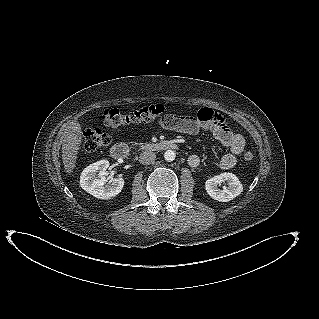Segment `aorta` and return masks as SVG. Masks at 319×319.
<instances>
[{"instance_id":"762f6f07","label":"aorta","mask_w":319,"mask_h":319,"mask_svg":"<svg viewBox=\"0 0 319 319\" xmlns=\"http://www.w3.org/2000/svg\"><path fill=\"white\" fill-rule=\"evenodd\" d=\"M176 158V153L173 150H167L164 153V159L168 162L174 161Z\"/></svg>"}]
</instances>
